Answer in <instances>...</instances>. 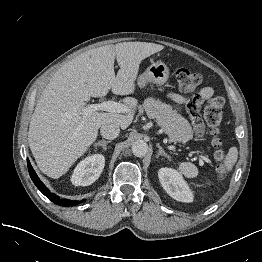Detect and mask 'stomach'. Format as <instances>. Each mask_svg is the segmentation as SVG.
Segmentation results:
<instances>
[{
    "mask_svg": "<svg viewBox=\"0 0 262 262\" xmlns=\"http://www.w3.org/2000/svg\"><path fill=\"white\" fill-rule=\"evenodd\" d=\"M169 68L161 61L150 65L138 78V86L144 88L148 84L163 85L168 81Z\"/></svg>",
    "mask_w": 262,
    "mask_h": 262,
    "instance_id": "stomach-1",
    "label": "stomach"
}]
</instances>
